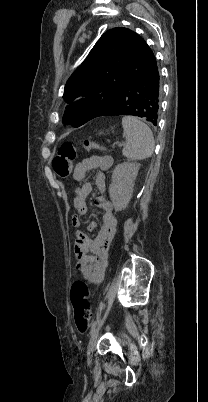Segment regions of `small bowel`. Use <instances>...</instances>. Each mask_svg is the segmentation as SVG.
<instances>
[{
  "label": "small bowel",
  "mask_w": 208,
  "mask_h": 402,
  "mask_svg": "<svg viewBox=\"0 0 208 402\" xmlns=\"http://www.w3.org/2000/svg\"><path fill=\"white\" fill-rule=\"evenodd\" d=\"M113 164L109 156H92L77 163L73 178L75 181L85 180L88 171L99 169L95 177V184L101 195L97 198L98 206L103 210L102 226L93 242L89 241L86 235L79 229L80 218L73 215L71 218L72 226L75 228V257L77 267L81 270L85 278L91 283H100L104 278L107 265L108 249L110 242L114 238L117 230L118 221L113 212L109 201L102 195L106 186L105 171ZM92 192V185L84 182L75 190L74 204L79 214H85L88 211L87 197ZM97 227L95 221L89 223V230L93 231Z\"/></svg>",
  "instance_id": "1"
}]
</instances>
